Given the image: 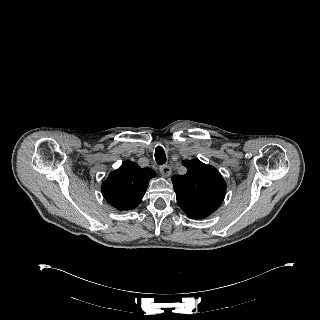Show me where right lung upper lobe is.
<instances>
[{
	"label": "right lung upper lobe",
	"instance_id": "1",
	"mask_svg": "<svg viewBox=\"0 0 320 320\" xmlns=\"http://www.w3.org/2000/svg\"><path fill=\"white\" fill-rule=\"evenodd\" d=\"M155 176L152 169L125 161L103 183V197L118 210H132L141 202L150 179Z\"/></svg>",
	"mask_w": 320,
	"mask_h": 320
}]
</instances>
